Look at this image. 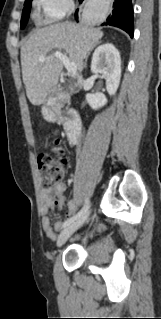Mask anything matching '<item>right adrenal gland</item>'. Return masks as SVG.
Returning <instances> with one entry per match:
<instances>
[{
	"label": "right adrenal gland",
	"mask_w": 161,
	"mask_h": 319,
	"mask_svg": "<svg viewBox=\"0 0 161 319\" xmlns=\"http://www.w3.org/2000/svg\"><path fill=\"white\" fill-rule=\"evenodd\" d=\"M100 42H98L97 44H99ZM88 55H89V53H88ZM87 58H88V56L86 57V62H87ZM85 66H86V64H85Z\"/></svg>",
	"instance_id": "obj_1"
}]
</instances>
